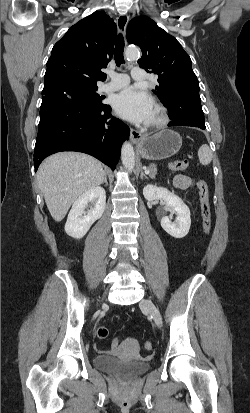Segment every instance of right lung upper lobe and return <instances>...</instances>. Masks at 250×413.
I'll return each instance as SVG.
<instances>
[{"instance_id":"1","label":"right lung upper lobe","mask_w":250,"mask_h":413,"mask_svg":"<svg viewBox=\"0 0 250 413\" xmlns=\"http://www.w3.org/2000/svg\"><path fill=\"white\" fill-rule=\"evenodd\" d=\"M116 35L113 19L102 12L73 25L52 49L42 94L71 86L97 87V81L106 79L101 69L113 56Z\"/></svg>"}]
</instances>
